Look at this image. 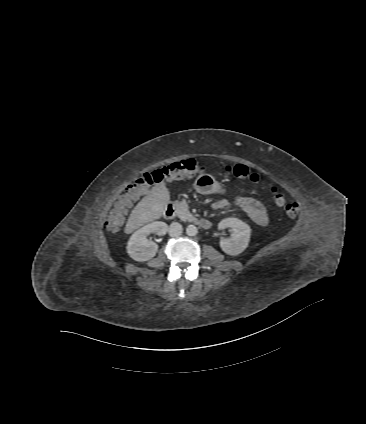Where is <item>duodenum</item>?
<instances>
[{
	"instance_id": "obj_1",
	"label": "duodenum",
	"mask_w": 366,
	"mask_h": 424,
	"mask_svg": "<svg viewBox=\"0 0 366 424\" xmlns=\"http://www.w3.org/2000/svg\"><path fill=\"white\" fill-rule=\"evenodd\" d=\"M177 214H178L177 208L173 203H169L165 207L164 217L166 219H173L177 216ZM193 222L203 229H209L211 227V222L204 218L195 219Z\"/></svg>"
}]
</instances>
